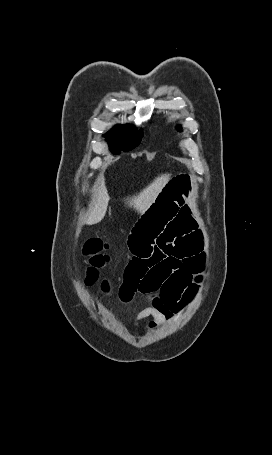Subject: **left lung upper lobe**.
<instances>
[{
  "label": "left lung upper lobe",
  "mask_w": 272,
  "mask_h": 455,
  "mask_svg": "<svg viewBox=\"0 0 272 455\" xmlns=\"http://www.w3.org/2000/svg\"><path fill=\"white\" fill-rule=\"evenodd\" d=\"M177 129L180 130V127L178 126Z\"/></svg>",
  "instance_id": "5c2ea615"
}]
</instances>
